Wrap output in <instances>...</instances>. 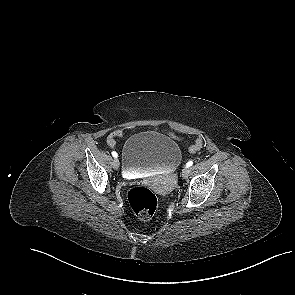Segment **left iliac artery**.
I'll use <instances>...</instances> for the list:
<instances>
[{
    "mask_svg": "<svg viewBox=\"0 0 295 295\" xmlns=\"http://www.w3.org/2000/svg\"><path fill=\"white\" fill-rule=\"evenodd\" d=\"M192 165H193V161H189V162H187L186 167H190Z\"/></svg>",
    "mask_w": 295,
    "mask_h": 295,
    "instance_id": "44dca946",
    "label": "left iliac artery"
}]
</instances>
